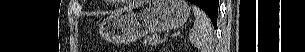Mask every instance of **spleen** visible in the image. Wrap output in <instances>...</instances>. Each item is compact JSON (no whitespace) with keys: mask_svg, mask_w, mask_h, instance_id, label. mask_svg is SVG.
<instances>
[{"mask_svg":"<svg viewBox=\"0 0 305 52\" xmlns=\"http://www.w3.org/2000/svg\"><path fill=\"white\" fill-rule=\"evenodd\" d=\"M195 21L193 31L189 34V41L201 52H213L214 38L210 19L199 7L194 5Z\"/></svg>","mask_w":305,"mask_h":52,"instance_id":"obj_1","label":"spleen"}]
</instances>
